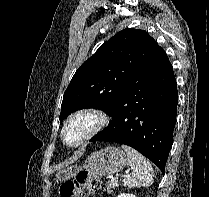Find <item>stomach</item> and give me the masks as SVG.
<instances>
[{
	"label": "stomach",
	"mask_w": 209,
	"mask_h": 197,
	"mask_svg": "<svg viewBox=\"0 0 209 197\" xmlns=\"http://www.w3.org/2000/svg\"><path fill=\"white\" fill-rule=\"evenodd\" d=\"M126 155L116 147H106L93 152L81 166H70L56 174V181L68 180L79 171L86 170L90 174L107 176L120 172L126 164Z\"/></svg>",
	"instance_id": "stomach-1"
}]
</instances>
